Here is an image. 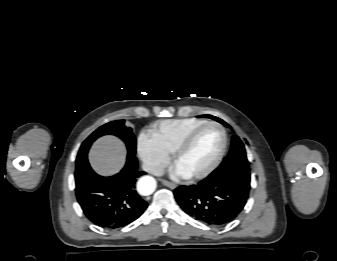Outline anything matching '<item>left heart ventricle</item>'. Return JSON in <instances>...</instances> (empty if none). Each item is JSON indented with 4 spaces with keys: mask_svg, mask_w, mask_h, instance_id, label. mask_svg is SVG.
Instances as JSON below:
<instances>
[{
    "mask_svg": "<svg viewBox=\"0 0 337 261\" xmlns=\"http://www.w3.org/2000/svg\"><path fill=\"white\" fill-rule=\"evenodd\" d=\"M222 145V135L216 127L202 130L189 149L182 155L177 168L185 175L197 173L206 168L217 156Z\"/></svg>",
    "mask_w": 337,
    "mask_h": 261,
    "instance_id": "obj_1",
    "label": "left heart ventricle"
}]
</instances>
